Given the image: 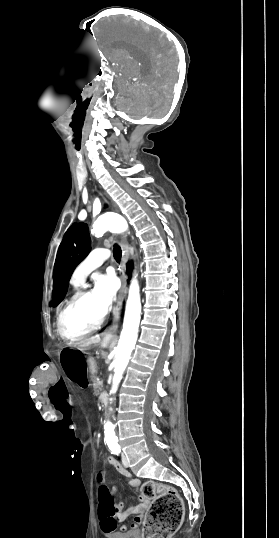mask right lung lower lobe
<instances>
[{"label": "right lung lower lobe", "mask_w": 279, "mask_h": 538, "mask_svg": "<svg viewBox=\"0 0 279 538\" xmlns=\"http://www.w3.org/2000/svg\"><path fill=\"white\" fill-rule=\"evenodd\" d=\"M131 269H132V263L128 262V264H127V273H128L129 276L131 274Z\"/></svg>", "instance_id": "1"}]
</instances>
